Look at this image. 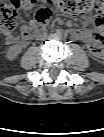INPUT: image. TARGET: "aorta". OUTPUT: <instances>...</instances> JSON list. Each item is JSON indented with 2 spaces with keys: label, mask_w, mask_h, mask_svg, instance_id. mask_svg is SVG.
Instances as JSON below:
<instances>
[{
  "label": "aorta",
  "mask_w": 104,
  "mask_h": 137,
  "mask_svg": "<svg viewBox=\"0 0 104 137\" xmlns=\"http://www.w3.org/2000/svg\"><path fill=\"white\" fill-rule=\"evenodd\" d=\"M56 38L58 39V40H63L64 38H65V31L64 30H57L56 31Z\"/></svg>",
  "instance_id": "1"
}]
</instances>
